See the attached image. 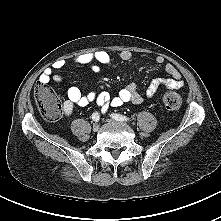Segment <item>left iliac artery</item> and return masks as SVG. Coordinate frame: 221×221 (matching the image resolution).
<instances>
[{"mask_svg": "<svg viewBox=\"0 0 221 221\" xmlns=\"http://www.w3.org/2000/svg\"><path fill=\"white\" fill-rule=\"evenodd\" d=\"M111 117L115 120H118V121H130V118L124 116V115H121V114H111Z\"/></svg>", "mask_w": 221, "mask_h": 221, "instance_id": "obj_1", "label": "left iliac artery"}]
</instances>
